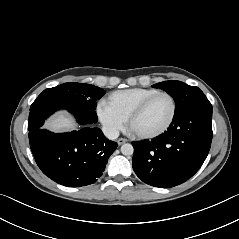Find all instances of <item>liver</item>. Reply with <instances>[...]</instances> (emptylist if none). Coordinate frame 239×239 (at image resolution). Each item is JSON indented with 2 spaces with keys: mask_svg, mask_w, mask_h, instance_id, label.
Masks as SVG:
<instances>
[{
  "mask_svg": "<svg viewBox=\"0 0 239 239\" xmlns=\"http://www.w3.org/2000/svg\"><path fill=\"white\" fill-rule=\"evenodd\" d=\"M45 127L54 132L69 131L76 128L73 119L63 113L57 114L46 122Z\"/></svg>",
  "mask_w": 239,
  "mask_h": 239,
  "instance_id": "liver-1",
  "label": "liver"
}]
</instances>
